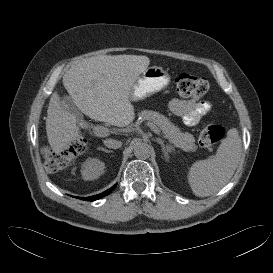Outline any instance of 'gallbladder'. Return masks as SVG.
<instances>
[{
    "label": "gallbladder",
    "mask_w": 273,
    "mask_h": 273,
    "mask_svg": "<svg viewBox=\"0 0 273 273\" xmlns=\"http://www.w3.org/2000/svg\"><path fill=\"white\" fill-rule=\"evenodd\" d=\"M64 104L67 106V109L70 110V113L76 118L79 124L83 123L84 115L79 111V108L76 107L75 103L71 101L70 97H65L63 99Z\"/></svg>",
    "instance_id": "gallbladder-1"
}]
</instances>
